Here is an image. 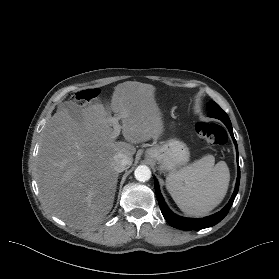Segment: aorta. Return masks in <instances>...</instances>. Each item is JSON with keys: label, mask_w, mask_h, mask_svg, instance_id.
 Here are the masks:
<instances>
[{"label": "aorta", "mask_w": 279, "mask_h": 279, "mask_svg": "<svg viewBox=\"0 0 279 279\" xmlns=\"http://www.w3.org/2000/svg\"><path fill=\"white\" fill-rule=\"evenodd\" d=\"M135 178L140 182L148 181L151 178V170L146 165H139L134 171Z\"/></svg>", "instance_id": "obj_1"}]
</instances>
